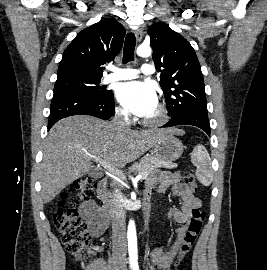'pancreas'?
<instances>
[{
    "instance_id": "obj_1",
    "label": "pancreas",
    "mask_w": 267,
    "mask_h": 270,
    "mask_svg": "<svg viewBox=\"0 0 267 270\" xmlns=\"http://www.w3.org/2000/svg\"><path fill=\"white\" fill-rule=\"evenodd\" d=\"M176 167L177 165L172 162L159 159L155 156H149L139 161L138 163H135L130 169L133 172L146 174L148 176L158 168L173 169Z\"/></svg>"
}]
</instances>
